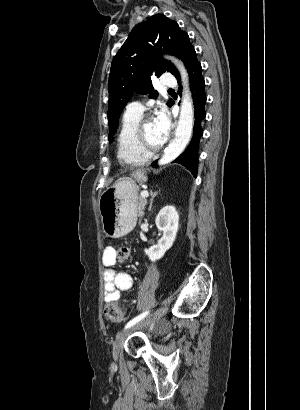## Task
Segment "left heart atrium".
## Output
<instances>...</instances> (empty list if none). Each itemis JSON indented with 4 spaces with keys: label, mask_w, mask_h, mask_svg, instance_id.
<instances>
[{
    "label": "left heart atrium",
    "mask_w": 300,
    "mask_h": 410,
    "mask_svg": "<svg viewBox=\"0 0 300 410\" xmlns=\"http://www.w3.org/2000/svg\"><path fill=\"white\" fill-rule=\"evenodd\" d=\"M153 122L160 139L164 142L171 129L170 119L166 111L164 109L158 110L154 116Z\"/></svg>",
    "instance_id": "39dd6f15"
}]
</instances>
